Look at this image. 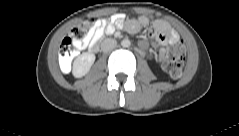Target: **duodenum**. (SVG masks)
I'll list each match as a JSON object with an SVG mask.
<instances>
[{
    "label": "duodenum",
    "instance_id": "410a0bca",
    "mask_svg": "<svg viewBox=\"0 0 239 136\" xmlns=\"http://www.w3.org/2000/svg\"><path fill=\"white\" fill-rule=\"evenodd\" d=\"M98 49H99V44H98V43H94V44H92V46L90 47V51H91L92 53L97 52Z\"/></svg>",
    "mask_w": 239,
    "mask_h": 136
}]
</instances>
